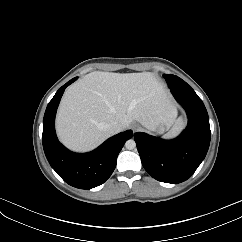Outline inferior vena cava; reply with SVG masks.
Here are the masks:
<instances>
[{
    "mask_svg": "<svg viewBox=\"0 0 242 242\" xmlns=\"http://www.w3.org/2000/svg\"><path fill=\"white\" fill-rule=\"evenodd\" d=\"M122 130H123V128H122L121 124H119L117 122H112L107 125V131L111 135L117 134V133L121 132Z\"/></svg>",
    "mask_w": 242,
    "mask_h": 242,
    "instance_id": "obj_1",
    "label": "inferior vena cava"
}]
</instances>
